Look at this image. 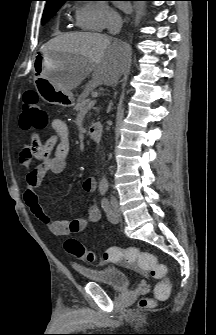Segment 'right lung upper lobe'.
<instances>
[{"mask_svg":"<svg viewBox=\"0 0 216 335\" xmlns=\"http://www.w3.org/2000/svg\"><path fill=\"white\" fill-rule=\"evenodd\" d=\"M47 1V5H52V4H57V3H64L65 1H68V0H45Z\"/></svg>","mask_w":216,"mask_h":335,"instance_id":"right-lung-upper-lobe-1","label":"right lung upper lobe"}]
</instances>
